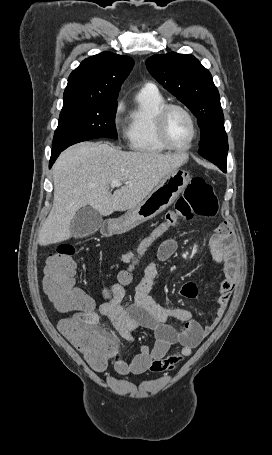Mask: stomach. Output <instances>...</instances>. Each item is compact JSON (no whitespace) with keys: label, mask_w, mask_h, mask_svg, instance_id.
Listing matches in <instances>:
<instances>
[{"label":"stomach","mask_w":272,"mask_h":455,"mask_svg":"<svg viewBox=\"0 0 272 455\" xmlns=\"http://www.w3.org/2000/svg\"><path fill=\"white\" fill-rule=\"evenodd\" d=\"M189 173L182 169L169 172L154 190L136 207L109 223L113 234H124L167 209L186 188Z\"/></svg>","instance_id":"1"}]
</instances>
